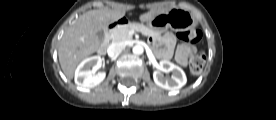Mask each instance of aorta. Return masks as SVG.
Masks as SVG:
<instances>
[{"instance_id": "762f6f07", "label": "aorta", "mask_w": 276, "mask_h": 120, "mask_svg": "<svg viewBox=\"0 0 276 120\" xmlns=\"http://www.w3.org/2000/svg\"><path fill=\"white\" fill-rule=\"evenodd\" d=\"M132 51L135 55H141L144 52V48L142 45L137 44V45L133 46Z\"/></svg>"}]
</instances>
